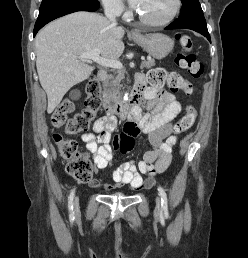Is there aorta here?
Here are the masks:
<instances>
[{"label":"aorta","mask_w":248,"mask_h":258,"mask_svg":"<svg viewBox=\"0 0 248 258\" xmlns=\"http://www.w3.org/2000/svg\"><path fill=\"white\" fill-rule=\"evenodd\" d=\"M124 101H128V94L127 93L124 95Z\"/></svg>","instance_id":"aorta-1"}]
</instances>
